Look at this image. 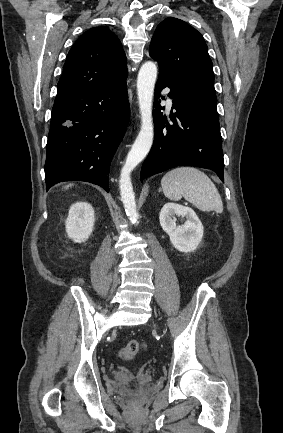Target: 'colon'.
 Here are the masks:
<instances>
[{
  "label": "colon",
  "instance_id": "1",
  "mask_svg": "<svg viewBox=\"0 0 283 433\" xmlns=\"http://www.w3.org/2000/svg\"><path fill=\"white\" fill-rule=\"evenodd\" d=\"M144 347L145 345L138 340H129L122 346L120 355L126 360L133 359L143 350Z\"/></svg>",
  "mask_w": 283,
  "mask_h": 433
}]
</instances>
